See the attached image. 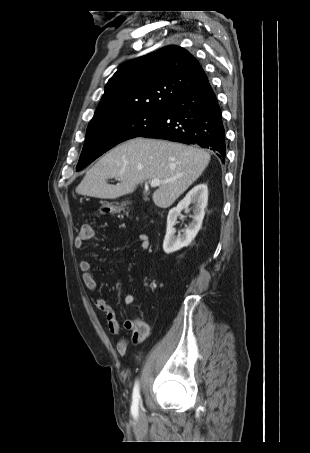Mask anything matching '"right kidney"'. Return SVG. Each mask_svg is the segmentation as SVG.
Here are the masks:
<instances>
[{"label":"right kidney","instance_id":"1","mask_svg":"<svg viewBox=\"0 0 310 453\" xmlns=\"http://www.w3.org/2000/svg\"><path fill=\"white\" fill-rule=\"evenodd\" d=\"M207 202L208 188L206 184L201 183L193 187L186 194L183 200H181L176 207L169 211L167 216L166 235L163 242V250L165 253L170 254L180 250L183 247H187L192 242L201 229ZM190 204H193V220L185 229L183 234H178L176 236L174 225L177 217L183 209H188Z\"/></svg>","mask_w":310,"mask_h":453}]
</instances>
